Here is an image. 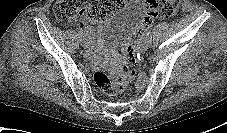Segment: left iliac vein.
I'll return each mask as SVG.
<instances>
[{
	"label": "left iliac vein",
	"mask_w": 227,
	"mask_h": 133,
	"mask_svg": "<svg viewBox=\"0 0 227 133\" xmlns=\"http://www.w3.org/2000/svg\"><path fill=\"white\" fill-rule=\"evenodd\" d=\"M150 44H151V37L147 36V35H144L142 40H141V48H142V50H147L148 47L150 46Z\"/></svg>",
	"instance_id": "1"
}]
</instances>
